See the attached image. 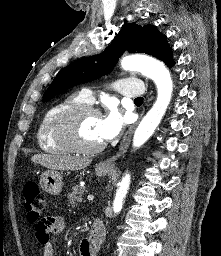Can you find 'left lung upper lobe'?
Returning <instances> with one entry per match:
<instances>
[{"mask_svg": "<svg viewBox=\"0 0 221 256\" xmlns=\"http://www.w3.org/2000/svg\"><path fill=\"white\" fill-rule=\"evenodd\" d=\"M125 50L152 55L172 66V50L166 36L155 26L125 23L111 44L101 54L79 59L63 68L44 94L43 102L83 82L93 81L112 71Z\"/></svg>", "mask_w": 221, "mask_h": 256, "instance_id": "5c2ea615", "label": "left lung upper lobe"}]
</instances>
